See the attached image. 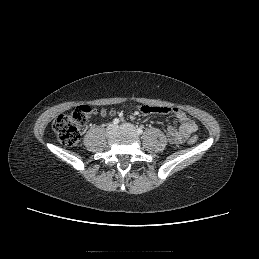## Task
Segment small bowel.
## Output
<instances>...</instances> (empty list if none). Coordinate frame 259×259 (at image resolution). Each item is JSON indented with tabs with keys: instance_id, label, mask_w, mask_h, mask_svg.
<instances>
[{
	"instance_id": "c3829d8e",
	"label": "small bowel",
	"mask_w": 259,
	"mask_h": 259,
	"mask_svg": "<svg viewBox=\"0 0 259 259\" xmlns=\"http://www.w3.org/2000/svg\"><path fill=\"white\" fill-rule=\"evenodd\" d=\"M139 110L143 114H153L160 116L162 113L173 116L177 122V127H168L166 137L172 143H181L191 133L197 130V124L185 112L177 108H161L155 105L142 104Z\"/></svg>"
}]
</instances>
